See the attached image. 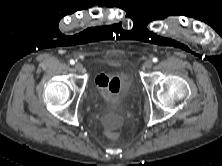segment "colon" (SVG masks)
Returning a JSON list of instances; mask_svg holds the SVG:
<instances>
[{
    "label": "colon",
    "mask_w": 222,
    "mask_h": 166,
    "mask_svg": "<svg viewBox=\"0 0 222 166\" xmlns=\"http://www.w3.org/2000/svg\"><path fill=\"white\" fill-rule=\"evenodd\" d=\"M107 136L110 138V139H117L119 134L116 132V131H112V130H108L107 131Z\"/></svg>",
    "instance_id": "colon-1"
}]
</instances>
